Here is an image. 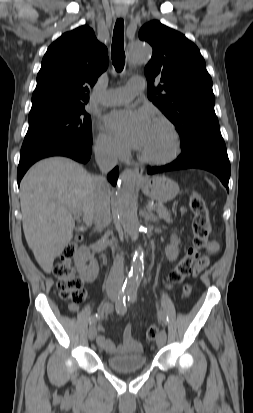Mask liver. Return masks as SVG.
I'll use <instances>...</instances> for the list:
<instances>
[{"instance_id":"1","label":"liver","mask_w":253,"mask_h":413,"mask_svg":"<svg viewBox=\"0 0 253 413\" xmlns=\"http://www.w3.org/2000/svg\"><path fill=\"white\" fill-rule=\"evenodd\" d=\"M20 203L28 246L49 274L55 258L73 237V210L83 214L87 226L93 223L95 177L68 158L41 160L21 181Z\"/></svg>"}]
</instances>
